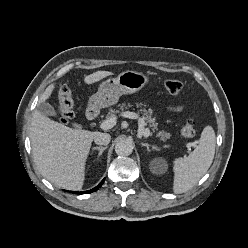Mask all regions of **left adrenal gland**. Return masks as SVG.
<instances>
[{"instance_id":"obj_1","label":"left adrenal gland","mask_w":248,"mask_h":248,"mask_svg":"<svg viewBox=\"0 0 248 248\" xmlns=\"http://www.w3.org/2000/svg\"><path fill=\"white\" fill-rule=\"evenodd\" d=\"M142 146H145L147 148V151H151V150H158V148L154 145H149L148 143H142Z\"/></svg>"}]
</instances>
